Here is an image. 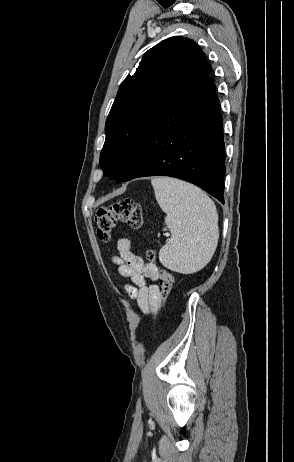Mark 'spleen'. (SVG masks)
Listing matches in <instances>:
<instances>
[{"label": "spleen", "instance_id": "spleen-1", "mask_svg": "<svg viewBox=\"0 0 294 462\" xmlns=\"http://www.w3.org/2000/svg\"><path fill=\"white\" fill-rule=\"evenodd\" d=\"M151 183L171 231V238L159 251L160 262L183 274L199 271L217 247L218 214L214 202L200 188L179 179L156 177Z\"/></svg>", "mask_w": 294, "mask_h": 462}]
</instances>
